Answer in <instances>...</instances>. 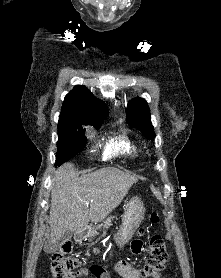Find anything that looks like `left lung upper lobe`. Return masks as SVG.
<instances>
[{
  "label": "left lung upper lobe",
  "mask_w": 221,
  "mask_h": 278,
  "mask_svg": "<svg viewBox=\"0 0 221 278\" xmlns=\"http://www.w3.org/2000/svg\"><path fill=\"white\" fill-rule=\"evenodd\" d=\"M127 121L132 127L142 131L148 139H154L155 133L150 120V111L144 99H132L127 107Z\"/></svg>",
  "instance_id": "1"
}]
</instances>
